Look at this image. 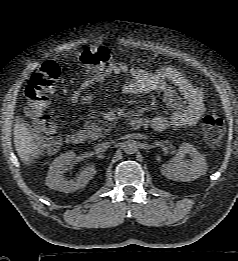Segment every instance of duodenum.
<instances>
[{
    "label": "duodenum",
    "instance_id": "duodenum-1",
    "mask_svg": "<svg viewBox=\"0 0 238 261\" xmlns=\"http://www.w3.org/2000/svg\"><path fill=\"white\" fill-rule=\"evenodd\" d=\"M147 124V121L141 117H135L130 120L129 126L131 129H139ZM66 141L70 145H80L84 142V135L80 132H71L66 136Z\"/></svg>",
    "mask_w": 238,
    "mask_h": 261
}]
</instances>
